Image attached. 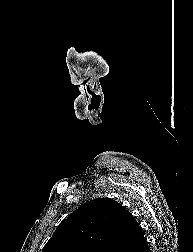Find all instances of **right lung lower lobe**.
I'll use <instances>...</instances> for the list:
<instances>
[{
    "label": "right lung lower lobe",
    "mask_w": 193,
    "mask_h": 252,
    "mask_svg": "<svg viewBox=\"0 0 193 252\" xmlns=\"http://www.w3.org/2000/svg\"><path fill=\"white\" fill-rule=\"evenodd\" d=\"M130 252H150L147 241L143 237Z\"/></svg>",
    "instance_id": "1"
}]
</instances>
